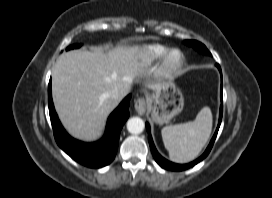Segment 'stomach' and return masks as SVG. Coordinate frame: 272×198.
Masks as SVG:
<instances>
[{"instance_id":"0dacf381","label":"stomach","mask_w":272,"mask_h":198,"mask_svg":"<svg viewBox=\"0 0 272 198\" xmlns=\"http://www.w3.org/2000/svg\"><path fill=\"white\" fill-rule=\"evenodd\" d=\"M151 118L157 124L168 123L184 107L182 92L172 82L160 85L149 97Z\"/></svg>"}]
</instances>
